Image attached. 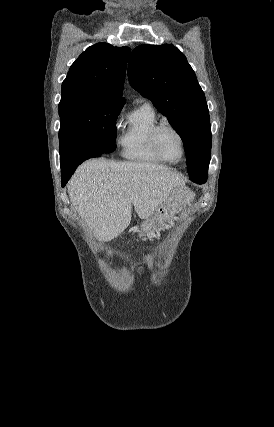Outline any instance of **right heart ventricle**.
Returning <instances> with one entry per match:
<instances>
[{
    "label": "right heart ventricle",
    "instance_id": "1",
    "mask_svg": "<svg viewBox=\"0 0 274 427\" xmlns=\"http://www.w3.org/2000/svg\"><path fill=\"white\" fill-rule=\"evenodd\" d=\"M158 124V116L149 104H142L129 113L119 137L121 156L130 161L163 164L151 146V134Z\"/></svg>",
    "mask_w": 274,
    "mask_h": 427
}]
</instances>
